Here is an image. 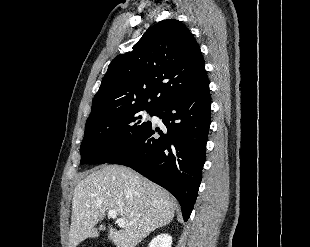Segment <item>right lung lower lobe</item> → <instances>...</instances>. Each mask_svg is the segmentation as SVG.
I'll return each mask as SVG.
<instances>
[{"label":"right lung lower lobe","instance_id":"obj_1","mask_svg":"<svg viewBox=\"0 0 310 247\" xmlns=\"http://www.w3.org/2000/svg\"><path fill=\"white\" fill-rule=\"evenodd\" d=\"M210 108L207 80L169 99L156 110L154 115L162 119L167 128L165 134L150 123L131 147L107 163L131 167L164 187L177 198L187 221L201 182Z\"/></svg>","mask_w":310,"mask_h":247}]
</instances>
